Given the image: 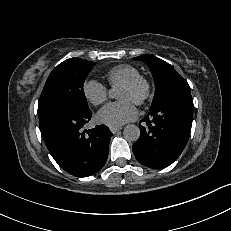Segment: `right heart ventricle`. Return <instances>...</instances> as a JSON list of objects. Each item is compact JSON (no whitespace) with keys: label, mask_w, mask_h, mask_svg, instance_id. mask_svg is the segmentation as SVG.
Returning a JSON list of instances; mask_svg holds the SVG:
<instances>
[{"label":"right heart ventricle","mask_w":231,"mask_h":231,"mask_svg":"<svg viewBox=\"0 0 231 231\" xmlns=\"http://www.w3.org/2000/svg\"><path fill=\"white\" fill-rule=\"evenodd\" d=\"M139 75L140 72L136 67L129 64H121L108 70L106 79L111 86H117Z\"/></svg>","instance_id":"1"}]
</instances>
